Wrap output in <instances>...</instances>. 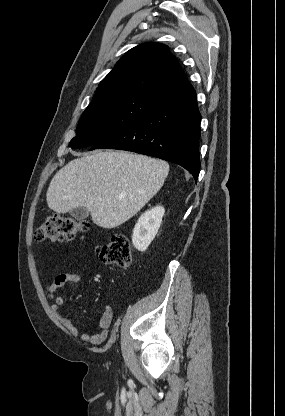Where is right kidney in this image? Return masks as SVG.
Listing matches in <instances>:
<instances>
[{"label":"right kidney","mask_w":285,"mask_h":416,"mask_svg":"<svg viewBox=\"0 0 285 416\" xmlns=\"http://www.w3.org/2000/svg\"><path fill=\"white\" fill-rule=\"evenodd\" d=\"M165 214L163 206H155L140 216L132 236V244L139 252H145L154 240Z\"/></svg>","instance_id":"1"}]
</instances>
